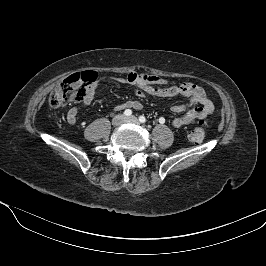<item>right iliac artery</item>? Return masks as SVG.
<instances>
[{
	"mask_svg": "<svg viewBox=\"0 0 266 266\" xmlns=\"http://www.w3.org/2000/svg\"><path fill=\"white\" fill-rule=\"evenodd\" d=\"M131 114H132V111H131L130 109H126V110L124 111V115H125V116H131Z\"/></svg>",
	"mask_w": 266,
	"mask_h": 266,
	"instance_id": "82829eb1",
	"label": "right iliac artery"
}]
</instances>
